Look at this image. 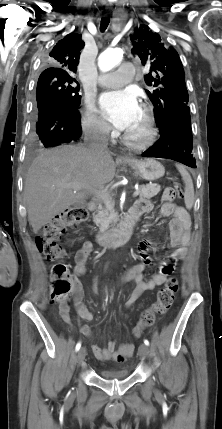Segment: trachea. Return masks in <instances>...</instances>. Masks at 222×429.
<instances>
[{"mask_svg": "<svg viewBox=\"0 0 222 429\" xmlns=\"http://www.w3.org/2000/svg\"><path fill=\"white\" fill-rule=\"evenodd\" d=\"M109 23H110V17H103L101 19V24H100L101 32H104L107 29Z\"/></svg>", "mask_w": 222, "mask_h": 429, "instance_id": "3493384b", "label": "trachea"}]
</instances>
